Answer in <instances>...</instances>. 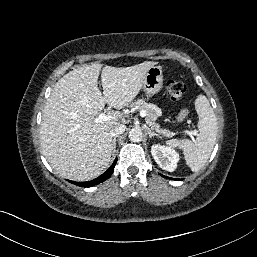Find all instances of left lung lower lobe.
Here are the masks:
<instances>
[{"mask_svg":"<svg viewBox=\"0 0 257 257\" xmlns=\"http://www.w3.org/2000/svg\"><path fill=\"white\" fill-rule=\"evenodd\" d=\"M166 178H168V177H166ZM169 179H172V178H169ZM174 180H177V179H174Z\"/></svg>","mask_w":257,"mask_h":257,"instance_id":"left-lung-lower-lobe-1","label":"left lung lower lobe"}]
</instances>
